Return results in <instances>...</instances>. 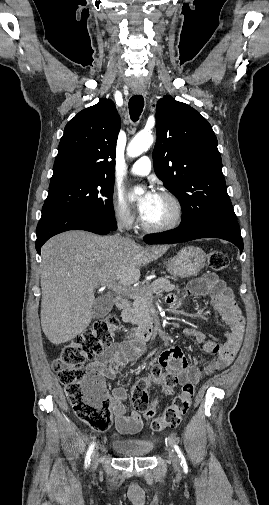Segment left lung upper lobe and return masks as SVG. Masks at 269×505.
<instances>
[{"mask_svg":"<svg viewBox=\"0 0 269 505\" xmlns=\"http://www.w3.org/2000/svg\"><path fill=\"white\" fill-rule=\"evenodd\" d=\"M154 169L179 200V227L194 228L217 217L236 218L227 194L217 138L189 105L165 95L156 106Z\"/></svg>","mask_w":269,"mask_h":505,"instance_id":"5c2ea615","label":"left lung upper lobe"}]
</instances>
